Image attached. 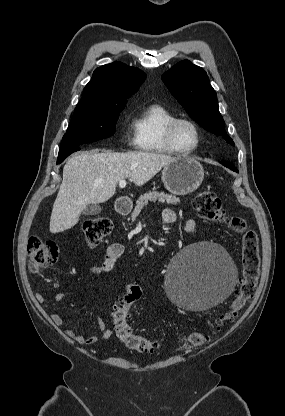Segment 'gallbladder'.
I'll list each match as a JSON object with an SVG mask.
<instances>
[{
  "label": "gallbladder",
  "mask_w": 285,
  "mask_h": 416,
  "mask_svg": "<svg viewBox=\"0 0 285 416\" xmlns=\"http://www.w3.org/2000/svg\"><path fill=\"white\" fill-rule=\"evenodd\" d=\"M102 212L101 206L99 204H88L87 208L83 210L82 214L83 216H97V214H100Z\"/></svg>",
  "instance_id": "gallbladder-1"
}]
</instances>
